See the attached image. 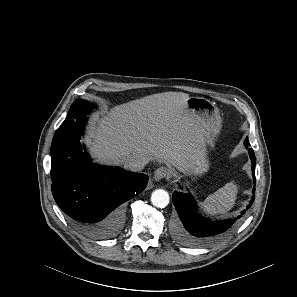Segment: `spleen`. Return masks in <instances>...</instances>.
Instances as JSON below:
<instances>
[{"instance_id": "3e777b00", "label": "spleen", "mask_w": 297, "mask_h": 297, "mask_svg": "<svg viewBox=\"0 0 297 297\" xmlns=\"http://www.w3.org/2000/svg\"><path fill=\"white\" fill-rule=\"evenodd\" d=\"M237 193L238 186L233 181L229 182L215 193L207 196L202 202V206L211 214H227L235 205Z\"/></svg>"}]
</instances>
